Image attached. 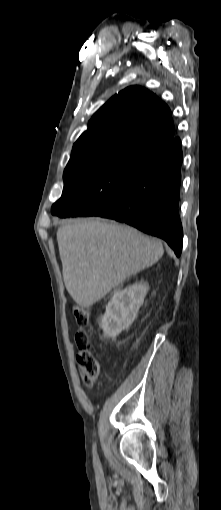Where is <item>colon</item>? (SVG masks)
I'll list each match as a JSON object with an SVG mask.
<instances>
[{"mask_svg": "<svg viewBox=\"0 0 221 510\" xmlns=\"http://www.w3.org/2000/svg\"><path fill=\"white\" fill-rule=\"evenodd\" d=\"M73 313L79 327L85 328L89 325L91 310L88 306L75 305ZM75 340L78 348L77 362L80 378L85 385L91 386L100 374V363L94 354L91 338L85 330L78 331Z\"/></svg>", "mask_w": 221, "mask_h": 510, "instance_id": "colon-1", "label": "colon"}]
</instances>
